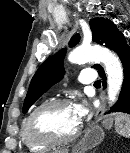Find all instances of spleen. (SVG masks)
Here are the masks:
<instances>
[{
  "mask_svg": "<svg viewBox=\"0 0 130 153\" xmlns=\"http://www.w3.org/2000/svg\"><path fill=\"white\" fill-rule=\"evenodd\" d=\"M115 129L116 132L123 137H130V116L118 115L115 118Z\"/></svg>",
  "mask_w": 130,
  "mask_h": 153,
  "instance_id": "3e777b00",
  "label": "spleen"
}]
</instances>
